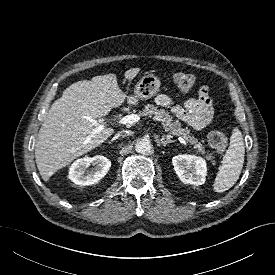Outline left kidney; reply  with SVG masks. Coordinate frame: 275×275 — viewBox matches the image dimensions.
<instances>
[{
    "mask_svg": "<svg viewBox=\"0 0 275 275\" xmlns=\"http://www.w3.org/2000/svg\"><path fill=\"white\" fill-rule=\"evenodd\" d=\"M174 170L184 184L202 185L206 180V161L195 155H178L172 159Z\"/></svg>",
    "mask_w": 275,
    "mask_h": 275,
    "instance_id": "obj_1",
    "label": "left kidney"
}]
</instances>
